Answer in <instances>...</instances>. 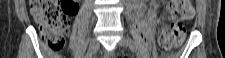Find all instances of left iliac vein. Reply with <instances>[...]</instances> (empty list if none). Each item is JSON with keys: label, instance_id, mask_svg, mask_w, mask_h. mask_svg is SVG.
<instances>
[{"label": "left iliac vein", "instance_id": "1", "mask_svg": "<svg viewBox=\"0 0 225 58\" xmlns=\"http://www.w3.org/2000/svg\"><path fill=\"white\" fill-rule=\"evenodd\" d=\"M129 43V40L126 37H122L119 41V45L122 47H128Z\"/></svg>", "mask_w": 225, "mask_h": 58}]
</instances>
